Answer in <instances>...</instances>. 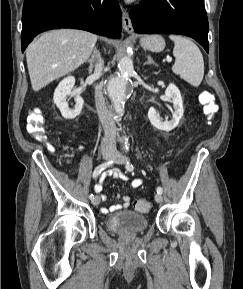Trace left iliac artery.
<instances>
[{
	"mask_svg": "<svg viewBox=\"0 0 243 289\" xmlns=\"http://www.w3.org/2000/svg\"><path fill=\"white\" fill-rule=\"evenodd\" d=\"M126 168H127V170H129V171H132L133 169H134V167H133V165L132 164H130L129 162H127V165H126ZM157 193L158 194H162V192H163V189H162V187H157Z\"/></svg>",
	"mask_w": 243,
	"mask_h": 289,
	"instance_id": "left-iliac-artery-1",
	"label": "left iliac artery"
}]
</instances>
